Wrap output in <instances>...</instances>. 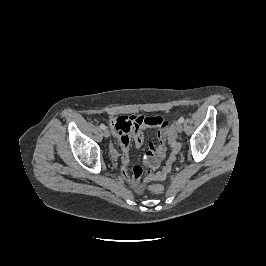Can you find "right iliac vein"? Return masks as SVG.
I'll use <instances>...</instances> for the list:
<instances>
[{"instance_id": "1", "label": "right iliac vein", "mask_w": 266, "mask_h": 266, "mask_svg": "<svg viewBox=\"0 0 266 266\" xmlns=\"http://www.w3.org/2000/svg\"><path fill=\"white\" fill-rule=\"evenodd\" d=\"M103 135H104L105 138L110 137V132H109V130L105 128V129L103 130Z\"/></svg>"}]
</instances>
